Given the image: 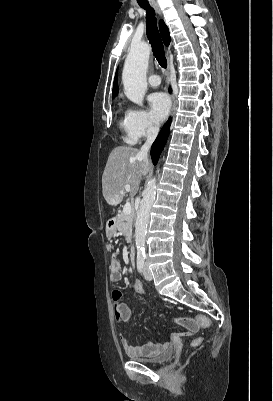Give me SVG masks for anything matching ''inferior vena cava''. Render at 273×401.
I'll list each match as a JSON object with an SVG mask.
<instances>
[{
	"label": "inferior vena cava",
	"mask_w": 273,
	"mask_h": 401,
	"mask_svg": "<svg viewBox=\"0 0 273 401\" xmlns=\"http://www.w3.org/2000/svg\"><path fill=\"white\" fill-rule=\"evenodd\" d=\"M158 132H159L158 126H149L148 132H147V140H146L145 144H143V146H141V150H139V154H140L142 160H144L145 164H147V168H146V170H144V174H146V172L148 170V152H149L150 146H151L153 140H155Z\"/></svg>",
	"instance_id": "1"
}]
</instances>
